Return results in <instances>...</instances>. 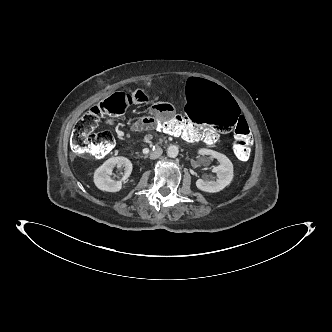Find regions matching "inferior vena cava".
Returning a JSON list of instances; mask_svg holds the SVG:
<instances>
[{
	"mask_svg": "<svg viewBox=\"0 0 332 332\" xmlns=\"http://www.w3.org/2000/svg\"><path fill=\"white\" fill-rule=\"evenodd\" d=\"M162 153H163L162 148L158 147L155 151H153L150 154V159H157L162 155Z\"/></svg>",
	"mask_w": 332,
	"mask_h": 332,
	"instance_id": "inferior-vena-cava-1",
	"label": "inferior vena cava"
}]
</instances>
